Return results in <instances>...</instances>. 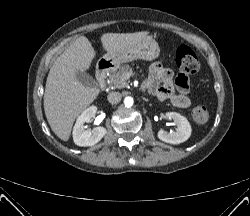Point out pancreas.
<instances>
[{"mask_svg": "<svg viewBox=\"0 0 250 216\" xmlns=\"http://www.w3.org/2000/svg\"><path fill=\"white\" fill-rule=\"evenodd\" d=\"M131 70L130 66L125 64L119 67L118 70L110 74L109 82L113 88H124L128 86L127 79L124 74Z\"/></svg>", "mask_w": 250, "mask_h": 216, "instance_id": "pancreas-1", "label": "pancreas"}]
</instances>
